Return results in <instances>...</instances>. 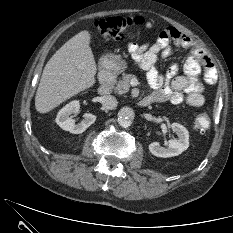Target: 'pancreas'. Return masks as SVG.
I'll return each instance as SVG.
<instances>
[{
  "mask_svg": "<svg viewBox=\"0 0 233 233\" xmlns=\"http://www.w3.org/2000/svg\"><path fill=\"white\" fill-rule=\"evenodd\" d=\"M135 76L132 74H125L122 76V79L119 81H113L110 83V87L114 90V92L118 94H124L129 91L130 88V80Z\"/></svg>",
  "mask_w": 233,
  "mask_h": 233,
  "instance_id": "pancreas-1",
  "label": "pancreas"
}]
</instances>
